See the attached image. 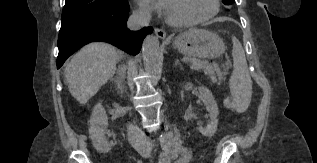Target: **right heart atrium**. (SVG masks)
Instances as JSON below:
<instances>
[{"label":"right heart atrium","mask_w":317,"mask_h":163,"mask_svg":"<svg viewBox=\"0 0 317 163\" xmlns=\"http://www.w3.org/2000/svg\"><path fill=\"white\" fill-rule=\"evenodd\" d=\"M135 15L142 20H147L150 18L151 14L147 8L140 7L135 11Z\"/></svg>","instance_id":"obj_1"}]
</instances>
